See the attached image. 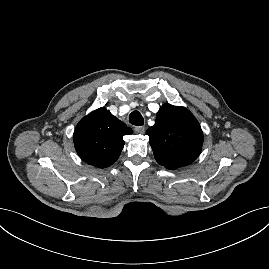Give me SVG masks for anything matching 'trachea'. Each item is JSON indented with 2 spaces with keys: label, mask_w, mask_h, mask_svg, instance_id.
Listing matches in <instances>:
<instances>
[{
  "label": "trachea",
  "mask_w": 269,
  "mask_h": 269,
  "mask_svg": "<svg viewBox=\"0 0 269 269\" xmlns=\"http://www.w3.org/2000/svg\"><path fill=\"white\" fill-rule=\"evenodd\" d=\"M129 122L132 125H136V126H141L144 124V119L141 115L140 112L138 111H133L130 115H129Z\"/></svg>",
  "instance_id": "obj_1"
}]
</instances>
